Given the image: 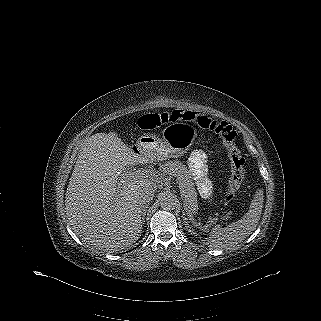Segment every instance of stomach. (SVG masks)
<instances>
[{
	"label": "stomach",
	"instance_id": "0dacf381",
	"mask_svg": "<svg viewBox=\"0 0 321 321\" xmlns=\"http://www.w3.org/2000/svg\"><path fill=\"white\" fill-rule=\"evenodd\" d=\"M196 138L194 128L183 122L167 125L162 131V139L144 135L137 141L138 149L158 158H171L184 155Z\"/></svg>",
	"mask_w": 321,
	"mask_h": 321
}]
</instances>
